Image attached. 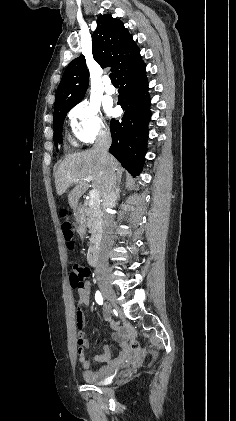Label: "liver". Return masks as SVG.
<instances>
[{
  "label": "liver",
  "mask_w": 236,
  "mask_h": 421,
  "mask_svg": "<svg viewBox=\"0 0 236 421\" xmlns=\"http://www.w3.org/2000/svg\"><path fill=\"white\" fill-rule=\"evenodd\" d=\"M119 164L120 162H117L111 154L106 162H102L101 154L96 148L67 154L56 168L57 194H63L69 186H73L68 194V202L73 211H77L80 196L90 186L89 180H85V176L87 174L93 176L92 186L98 190L100 196H103L106 184L110 180V172H115L117 168H120ZM72 178H76V180H72Z\"/></svg>",
  "instance_id": "obj_1"
}]
</instances>
